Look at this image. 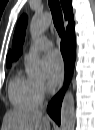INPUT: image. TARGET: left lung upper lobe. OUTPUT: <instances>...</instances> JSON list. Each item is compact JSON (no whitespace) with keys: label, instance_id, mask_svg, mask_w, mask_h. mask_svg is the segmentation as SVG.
Returning a JSON list of instances; mask_svg holds the SVG:
<instances>
[{"label":"left lung upper lobe","instance_id":"1","mask_svg":"<svg viewBox=\"0 0 95 130\" xmlns=\"http://www.w3.org/2000/svg\"><path fill=\"white\" fill-rule=\"evenodd\" d=\"M26 25H27V16L23 15L18 21L13 38V50L16 56H19L22 52V44L25 38Z\"/></svg>","mask_w":95,"mask_h":130}]
</instances>
